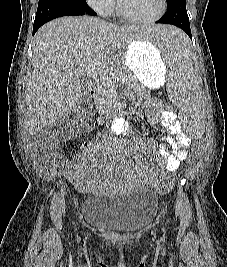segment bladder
<instances>
[{"mask_svg": "<svg viewBox=\"0 0 227 267\" xmlns=\"http://www.w3.org/2000/svg\"><path fill=\"white\" fill-rule=\"evenodd\" d=\"M157 209V196L144 188L124 194L91 193L82 204V215L93 228L125 232L146 225Z\"/></svg>", "mask_w": 227, "mask_h": 267, "instance_id": "1", "label": "bladder"}]
</instances>
